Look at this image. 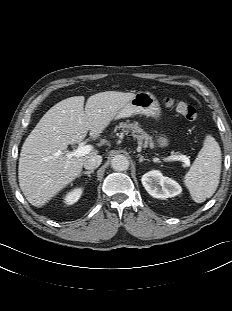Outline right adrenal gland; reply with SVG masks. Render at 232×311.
<instances>
[{
  "instance_id": "obj_1",
  "label": "right adrenal gland",
  "mask_w": 232,
  "mask_h": 311,
  "mask_svg": "<svg viewBox=\"0 0 232 311\" xmlns=\"http://www.w3.org/2000/svg\"><path fill=\"white\" fill-rule=\"evenodd\" d=\"M93 172H94V170L84 171V172H82V173L79 175V177L82 176V175H87L88 177H91V174H92Z\"/></svg>"
}]
</instances>
